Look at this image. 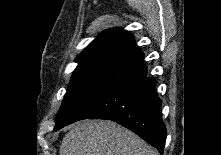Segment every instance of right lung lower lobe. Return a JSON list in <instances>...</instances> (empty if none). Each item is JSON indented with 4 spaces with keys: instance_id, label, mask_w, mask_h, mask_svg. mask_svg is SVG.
<instances>
[{
    "instance_id": "1",
    "label": "right lung lower lobe",
    "mask_w": 221,
    "mask_h": 155,
    "mask_svg": "<svg viewBox=\"0 0 221 155\" xmlns=\"http://www.w3.org/2000/svg\"><path fill=\"white\" fill-rule=\"evenodd\" d=\"M137 49L119 61L82 119H107L132 130L162 154L166 127L155 81Z\"/></svg>"
}]
</instances>
